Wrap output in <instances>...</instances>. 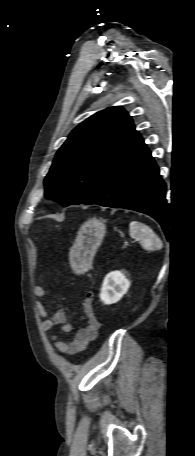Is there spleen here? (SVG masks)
I'll use <instances>...</instances> for the list:
<instances>
[{"label":"spleen","mask_w":195,"mask_h":456,"mask_svg":"<svg viewBox=\"0 0 195 456\" xmlns=\"http://www.w3.org/2000/svg\"><path fill=\"white\" fill-rule=\"evenodd\" d=\"M129 229L131 237L138 239L145 249L152 250L162 247L161 240L149 226L138 221H133L130 223Z\"/></svg>","instance_id":"3e777b00"}]
</instances>
